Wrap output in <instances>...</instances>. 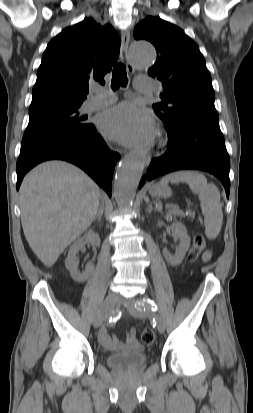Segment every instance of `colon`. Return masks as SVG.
Here are the masks:
<instances>
[{"mask_svg":"<svg viewBox=\"0 0 253 413\" xmlns=\"http://www.w3.org/2000/svg\"><path fill=\"white\" fill-rule=\"evenodd\" d=\"M206 247V240L204 236L197 235L193 240L192 247L188 253V259L190 262H194L198 259L202 251ZM155 340V334L151 329H145L141 333V341L145 345H151Z\"/></svg>","mask_w":253,"mask_h":413,"instance_id":"5ec220e1","label":"colon"}]
</instances>
